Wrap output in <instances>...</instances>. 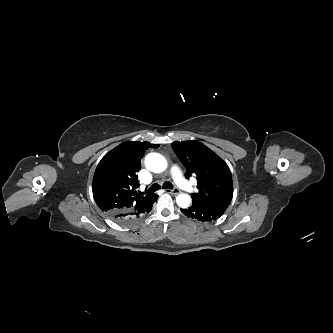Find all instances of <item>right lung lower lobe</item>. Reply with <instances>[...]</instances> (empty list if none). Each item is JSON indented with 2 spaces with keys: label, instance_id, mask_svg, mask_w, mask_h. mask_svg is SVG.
Returning a JSON list of instances; mask_svg holds the SVG:
<instances>
[{
  "label": "right lung lower lobe",
  "instance_id": "98d812e1",
  "mask_svg": "<svg viewBox=\"0 0 333 333\" xmlns=\"http://www.w3.org/2000/svg\"><path fill=\"white\" fill-rule=\"evenodd\" d=\"M157 200V197H153L149 202L140 205L134 209L130 210H115L109 213H106L110 216L114 221L125 223V222H133L138 220L143 216V214L148 213L152 209L153 203Z\"/></svg>",
  "mask_w": 333,
  "mask_h": 333
}]
</instances>
